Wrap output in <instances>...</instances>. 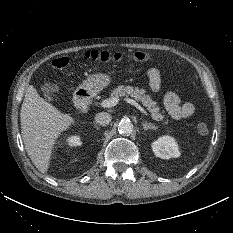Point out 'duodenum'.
Returning <instances> with one entry per match:
<instances>
[{"label":"duodenum","mask_w":233,"mask_h":233,"mask_svg":"<svg viewBox=\"0 0 233 233\" xmlns=\"http://www.w3.org/2000/svg\"><path fill=\"white\" fill-rule=\"evenodd\" d=\"M91 102L92 94L88 90H80L75 96V104L79 109L89 107Z\"/></svg>","instance_id":"410a0bca"}]
</instances>
